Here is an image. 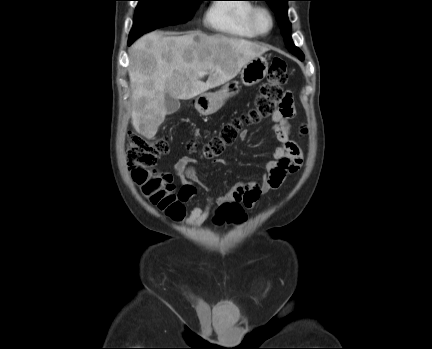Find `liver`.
<instances>
[{"label":"liver","instance_id":"1","mask_svg":"<svg viewBox=\"0 0 432 349\" xmlns=\"http://www.w3.org/2000/svg\"><path fill=\"white\" fill-rule=\"evenodd\" d=\"M268 47L223 34L192 31L181 36L152 32L129 50L132 124L153 138L167 114L165 95L188 100L233 79L249 61ZM209 74L206 82L199 73Z\"/></svg>","mask_w":432,"mask_h":349}]
</instances>
